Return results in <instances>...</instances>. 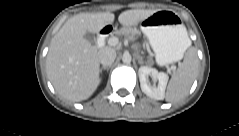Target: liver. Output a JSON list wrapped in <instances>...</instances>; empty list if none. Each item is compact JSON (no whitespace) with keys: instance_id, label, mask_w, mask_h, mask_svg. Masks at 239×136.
<instances>
[{"instance_id":"obj_1","label":"liver","mask_w":239,"mask_h":136,"mask_svg":"<svg viewBox=\"0 0 239 136\" xmlns=\"http://www.w3.org/2000/svg\"><path fill=\"white\" fill-rule=\"evenodd\" d=\"M155 10H127L118 21L125 28L138 25ZM113 13H80L68 19L52 38L46 57L48 77L64 99L79 102L88 99L99 82L98 50L84 38L87 32L98 33L114 22Z\"/></svg>"}]
</instances>
